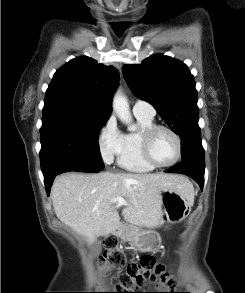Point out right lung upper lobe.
<instances>
[{
    "label": "right lung upper lobe",
    "mask_w": 245,
    "mask_h": 293,
    "mask_svg": "<svg viewBox=\"0 0 245 293\" xmlns=\"http://www.w3.org/2000/svg\"><path fill=\"white\" fill-rule=\"evenodd\" d=\"M119 74L113 66L77 57L61 67L46 91L43 116L65 115L106 122Z\"/></svg>",
    "instance_id": "obj_1"
}]
</instances>
